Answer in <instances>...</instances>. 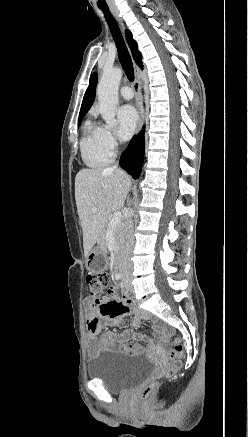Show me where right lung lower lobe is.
Wrapping results in <instances>:
<instances>
[{"mask_svg": "<svg viewBox=\"0 0 248 437\" xmlns=\"http://www.w3.org/2000/svg\"><path fill=\"white\" fill-rule=\"evenodd\" d=\"M143 134L144 130L138 136L133 137L120 158V166L134 179L139 177L143 163L144 139H141Z\"/></svg>", "mask_w": 248, "mask_h": 437, "instance_id": "98d812e1", "label": "right lung lower lobe"}]
</instances>
